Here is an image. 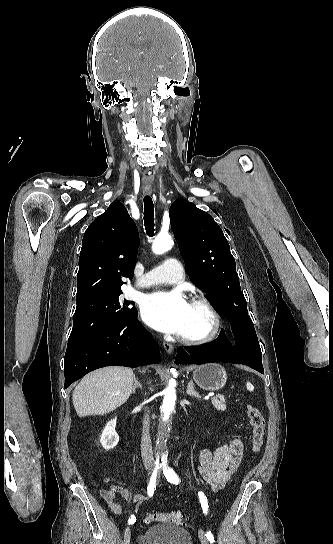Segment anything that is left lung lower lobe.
<instances>
[{"mask_svg":"<svg viewBox=\"0 0 333 544\" xmlns=\"http://www.w3.org/2000/svg\"><path fill=\"white\" fill-rule=\"evenodd\" d=\"M232 331L235 345L231 344L222 330L219 337L210 343L196 347H185V349L179 348L176 363L202 364L215 359L217 362L245 364L264 373L261 350L257 343L254 347L243 332L239 333L234 327Z\"/></svg>","mask_w":333,"mask_h":544,"instance_id":"1","label":"left lung lower lobe"}]
</instances>
